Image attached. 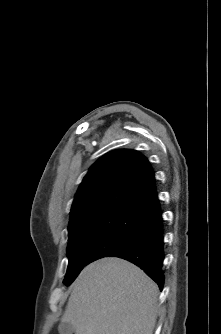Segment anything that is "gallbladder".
Instances as JSON below:
<instances>
[{"label": "gallbladder", "instance_id": "gallbladder-1", "mask_svg": "<svg viewBox=\"0 0 221 334\" xmlns=\"http://www.w3.org/2000/svg\"><path fill=\"white\" fill-rule=\"evenodd\" d=\"M58 331L60 334H73L74 327L70 323L62 322L58 327Z\"/></svg>", "mask_w": 221, "mask_h": 334}]
</instances>
